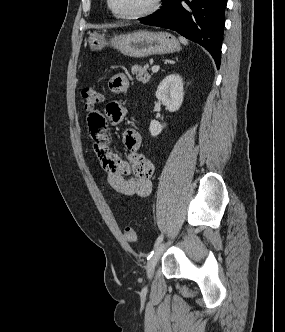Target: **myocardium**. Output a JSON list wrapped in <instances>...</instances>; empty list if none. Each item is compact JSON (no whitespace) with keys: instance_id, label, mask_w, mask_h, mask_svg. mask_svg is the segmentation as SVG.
<instances>
[{"instance_id":"1","label":"myocardium","mask_w":285,"mask_h":332,"mask_svg":"<svg viewBox=\"0 0 285 332\" xmlns=\"http://www.w3.org/2000/svg\"><path fill=\"white\" fill-rule=\"evenodd\" d=\"M106 2H107V7H108L110 13L115 18L121 19V20H139V19L149 17V16L153 15L154 13H156L161 6L162 0H153L152 5L148 9L138 12V13H134V14H120L113 8L112 0H106Z\"/></svg>"}]
</instances>
